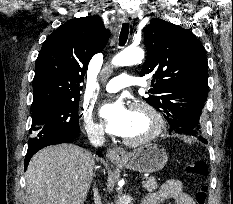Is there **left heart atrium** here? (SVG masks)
<instances>
[{
    "instance_id": "obj_1",
    "label": "left heart atrium",
    "mask_w": 233,
    "mask_h": 204,
    "mask_svg": "<svg viewBox=\"0 0 233 204\" xmlns=\"http://www.w3.org/2000/svg\"><path fill=\"white\" fill-rule=\"evenodd\" d=\"M108 133L123 136L130 120V110L122 101L104 104L99 111Z\"/></svg>"
}]
</instances>
